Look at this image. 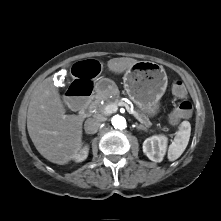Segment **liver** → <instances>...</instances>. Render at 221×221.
Listing matches in <instances>:
<instances>
[{
	"label": "liver",
	"instance_id": "liver-1",
	"mask_svg": "<svg viewBox=\"0 0 221 221\" xmlns=\"http://www.w3.org/2000/svg\"><path fill=\"white\" fill-rule=\"evenodd\" d=\"M138 62L121 57L107 62L115 73H122ZM57 89L50 78L34 90L28 107L27 129L37 151L48 161L64 165L69 163L82 145L83 117L67 115Z\"/></svg>",
	"mask_w": 221,
	"mask_h": 221
}]
</instances>
